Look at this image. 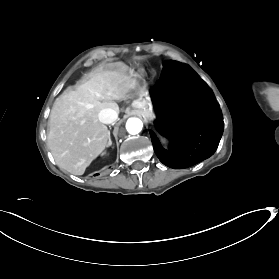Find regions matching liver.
Wrapping results in <instances>:
<instances>
[{
    "label": "liver",
    "instance_id": "obj_1",
    "mask_svg": "<svg viewBox=\"0 0 279 279\" xmlns=\"http://www.w3.org/2000/svg\"><path fill=\"white\" fill-rule=\"evenodd\" d=\"M135 91L138 98L145 92L127 80L120 66L97 70L77 91L60 95L52 108L48 134L57 165L73 175H82L109 145V132L98 113L104 108L118 110L115 101Z\"/></svg>",
    "mask_w": 279,
    "mask_h": 279
}]
</instances>
